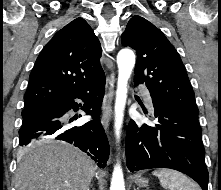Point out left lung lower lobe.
Instances as JSON below:
<instances>
[{
	"instance_id": "1",
	"label": "left lung lower lobe",
	"mask_w": 221,
	"mask_h": 190,
	"mask_svg": "<svg viewBox=\"0 0 221 190\" xmlns=\"http://www.w3.org/2000/svg\"><path fill=\"white\" fill-rule=\"evenodd\" d=\"M153 106L156 124L129 122L126 132L128 169L131 172L151 168L175 169L193 178L203 190H208L209 175L198 118L154 101Z\"/></svg>"
}]
</instances>
